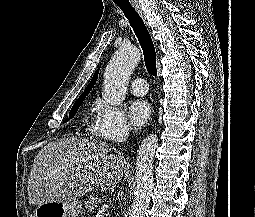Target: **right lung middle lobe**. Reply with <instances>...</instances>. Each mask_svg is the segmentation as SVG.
Returning <instances> with one entry per match:
<instances>
[{
	"instance_id": "1",
	"label": "right lung middle lobe",
	"mask_w": 255,
	"mask_h": 217,
	"mask_svg": "<svg viewBox=\"0 0 255 217\" xmlns=\"http://www.w3.org/2000/svg\"><path fill=\"white\" fill-rule=\"evenodd\" d=\"M88 94H84L78 98V100L74 103L70 113H69V119H71L77 112L78 108L81 106L83 103L84 99L86 98Z\"/></svg>"
}]
</instances>
